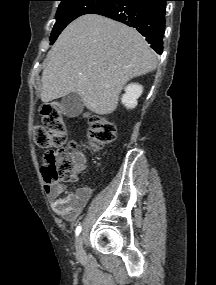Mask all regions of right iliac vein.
<instances>
[{
    "mask_svg": "<svg viewBox=\"0 0 216 285\" xmlns=\"http://www.w3.org/2000/svg\"><path fill=\"white\" fill-rule=\"evenodd\" d=\"M76 253L77 256L82 257L84 254V249H83V236L80 235L78 236L76 240Z\"/></svg>",
    "mask_w": 216,
    "mask_h": 285,
    "instance_id": "63e3f726",
    "label": "right iliac vein"
}]
</instances>
